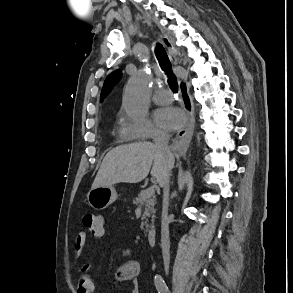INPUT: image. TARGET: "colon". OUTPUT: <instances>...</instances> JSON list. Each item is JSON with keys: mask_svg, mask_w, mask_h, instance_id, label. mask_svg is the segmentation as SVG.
I'll return each mask as SVG.
<instances>
[{"mask_svg": "<svg viewBox=\"0 0 293 293\" xmlns=\"http://www.w3.org/2000/svg\"><path fill=\"white\" fill-rule=\"evenodd\" d=\"M83 226L91 233H98L103 227V218L95 213H85L82 218Z\"/></svg>", "mask_w": 293, "mask_h": 293, "instance_id": "1", "label": "colon"}]
</instances>
